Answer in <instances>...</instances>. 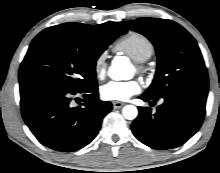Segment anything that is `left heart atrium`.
I'll list each match as a JSON object with an SVG mask.
<instances>
[{
  "mask_svg": "<svg viewBox=\"0 0 220 173\" xmlns=\"http://www.w3.org/2000/svg\"><path fill=\"white\" fill-rule=\"evenodd\" d=\"M139 91L140 84L136 80L110 81L100 89L101 96L109 101H126Z\"/></svg>",
  "mask_w": 220,
  "mask_h": 173,
  "instance_id": "left-heart-atrium-1",
  "label": "left heart atrium"
}]
</instances>
